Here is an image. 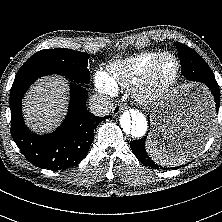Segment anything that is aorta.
<instances>
[{
    "label": "aorta",
    "mask_w": 222,
    "mask_h": 222,
    "mask_svg": "<svg viewBox=\"0 0 222 222\" xmlns=\"http://www.w3.org/2000/svg\"><path fill=\"white\" fill-rule=\"evenodd\" d=\"M120 126L126 136L137 139L146 134L148 122L141 111L130 109L120 116Z\"/></svg>",
    "instance_id": "aorta-1"
}]
</instances>
